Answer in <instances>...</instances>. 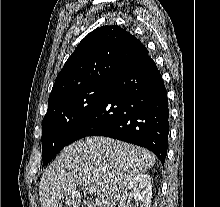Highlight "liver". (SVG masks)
Segmentation results:
<instances>
[{
	"instance_id": "1",
	"label": "liver",
	"mask_w": 220,
	"mask_h": 207,
	"mask_svg": "<svg viewBox=\"0 0 220 207\" xmlns=\"http://www.w3.org/2000/svg\"><path fill=\"white\" fill-rule=\"evenodd\" d=\"M155 164L148 150L105 137H86L63 149L39 183L41 207H80L78 187L96 188L95 206L114 207L127 184Z\"/></svg>"
}]
</instances>
